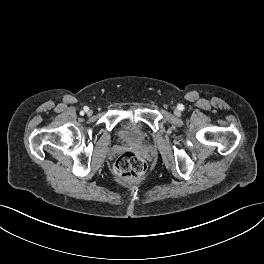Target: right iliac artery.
<instances>
[{
  "label": "right iliac artery",
  "mask_w": 264,
  "mask_h": 264,
  "mask_svg": "<svg viewBox=\"0 0 264 264\" xmlns=\"http://www.w3.org/2000/svg\"><path fill=\"white\" fill-rule=\"evenodd\" d=\"M89 108L87 106L84 107V111L87 112Z\"/></svg>",
  "instance_id": "obj_1"
}]
</instances>
